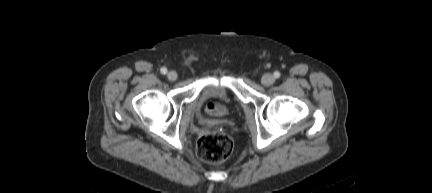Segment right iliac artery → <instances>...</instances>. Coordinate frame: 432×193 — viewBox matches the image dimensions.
<instances>
[{"instance_id": "1", "label": "right iliac artery", "mask_w": 432, "mask_h": 193, "mask_svg": "<svg viewBox=\"0 0 432 193\" xmlns=\"http://www.w3.org/2000/svg\"><path fill=\"white\" fill-rule=\"evenodd\" d=\"M160 71H161L162 74H166L167 73V69L165 67H162Z\"/></svg>"}]
</instances>
